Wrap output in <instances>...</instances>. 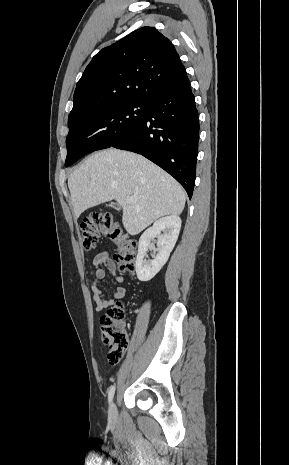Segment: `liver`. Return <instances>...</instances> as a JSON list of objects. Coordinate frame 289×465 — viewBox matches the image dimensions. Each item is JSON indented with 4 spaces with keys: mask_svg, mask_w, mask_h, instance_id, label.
<instances>
[{
    "mask_svg": "<svg viewBox=\"0 0 289 465\" xmlns=\"http://www.w3.org/2000/svg\"><path fill=\"white\" fill-rule=\"evenodd\" d=\"M75 218L88 208L116 200L122 223L136 235L158 218L179 215L185 192L177 181L145 157L109 148L90 155L68 178ZM135 197L132 203L127 198Z\"/></svg>",
    "mask_w": 289,
    "mask_h": 465,
    "instance_id": "6515ba94",
    "label": "liver"
}]
</instances>
